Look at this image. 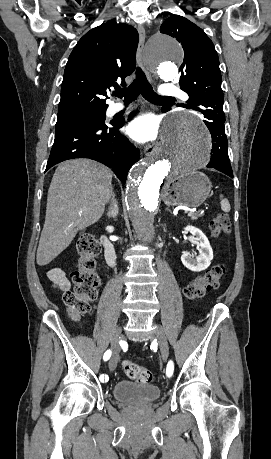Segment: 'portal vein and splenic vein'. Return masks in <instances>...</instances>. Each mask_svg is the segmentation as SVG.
Segmentation results:
<instances>
[{"instance_id": "obj_1", "label": "portal vein and splenic vein", "mask_w": 271, "mask_h": 459, "mask_svg": "<svg viewBox=\"0 0 271 459\" xmlns=\"http://www.w3.org/2000/svg\"><path fill=\"white\" fill-rule=\"evenodd\" d=\"M188 213H189L188 215L189 217H193V213H194L193 211L192 212L189 211Z\"/></svg>"}]
</instances>
